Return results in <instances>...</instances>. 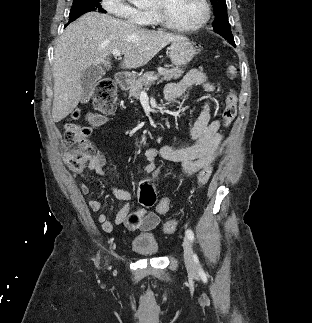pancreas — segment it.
I'll use <instances>...</instances> for the list:
<instances>
[{
    "instance_id": "pancreas-1",
    "label": "pancreas",
    "mask_w": 312,
    "mask_h": 323,
    "mask_svg": "<svg viewBox=\"0 0 312 323\" xmlns=\"http://www.w3.org/2000/svg\"><path fill=\"white\" fill-rule=\"evenodd\" d=\"M155 72H145L141 78H138L136 82H133L129 92V96H133L138 100L141 92L145 90V88H149L152 82H154ZM182 74H184V68H172V70H166V68H162L159 76H163L161 80H178L181 78Z\"/></svg>"
}]
</instances>
